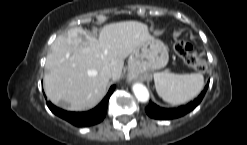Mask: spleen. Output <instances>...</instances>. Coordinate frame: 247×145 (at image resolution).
<instances>
[{
    "label": "spleen",
    "instance_id": "3e777b00",
    "mask_svg": "<svg viewBox=\"0 0 247 145\" xmlns=\"http://www.w3.org/2000/svg\"><path fill=\"white\" fill-rule=\"evenodd\" d=\"M153 76L158 95L172 105L184 104L194 99L204 87V77L201 73L156 72Z\"/></svg>",
    "mask_w": 247,
    "mask_h": 145
}]
</instances>
